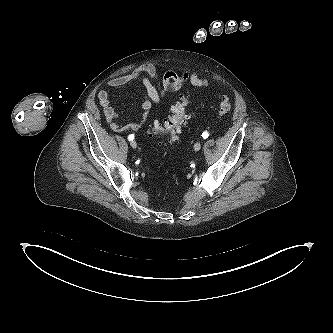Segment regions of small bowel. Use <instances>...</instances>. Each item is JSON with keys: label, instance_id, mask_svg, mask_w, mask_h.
<instances>
[{"label": "small bowel", "instance_id": "c3829d8e", "mask_svg": "<svg viewBox=\"0 0 333 333\" xmlns=\"http://www.w3.org/2000/svg\"><path fill=\"white\" fill-rule=\"evenodd\" d=\"M140 81V86L144 92V101L142 103V118L140 121L120 122L119 114L112 106V98L108 91H99L97 97L99 104L103 109L104 118L114 132H123L126 130L138 131L151 114L152 104L161 103L167 93L179 90L184 82H189L196 87H206L209 81L197 73L183 72L181 74L167 70L160 77L158 70L152 64H144L131 73L112 78L108 81L111 88H121L134 81ZM121 94L115 96L119 100Z\"/></svg>", "mask_w": 333, "mask_h": 333}]
</instances>
